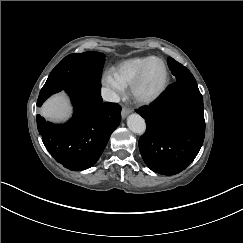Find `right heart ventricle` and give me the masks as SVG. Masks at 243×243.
<instances>
[{
  "instance_id": "e07e8e85",
  "label": "right heart ventricle",
  "mask_w": 243,
  "mask_h": 243,
  "mask_svg": "<svg viewBox=\"0 0 243 243\" xmlns=\"http://www.w3.org/2000/svg\"><path fill=\"white\" fill-rule=\"evenodd\" d=\"M156 58L159 57L154 55L132 56L118 61L113 68L122 85L130 88L143 67Z\"/></svg>"
}]
</instances>
